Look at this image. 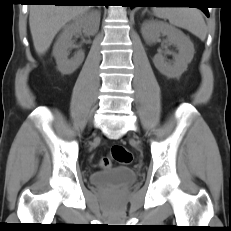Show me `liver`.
Here are the masks:
<instances>
[{
	"instance_id": "1",
	"label": "liver",
	"mask_w": 231,
	"mask_h": 231,
	"mask_svg": "<svg viewBox=\"0 0 231 231\" xmlns=\"http://www.w3.org/2000/svg\"><path fill=\"white\" fill-rule=\"evenodd\" d=\"M88 10L86 5H32L29 25L36 52L45 54L60 29Z\"/></svg>"
}]
</instances>
